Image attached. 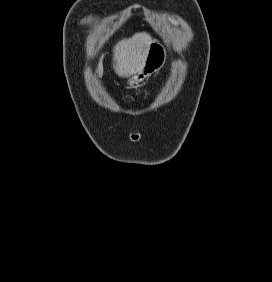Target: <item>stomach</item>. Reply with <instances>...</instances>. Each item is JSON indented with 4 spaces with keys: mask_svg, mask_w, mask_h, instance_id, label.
<instances>
[{
    "mask_svg": "<svg viewBox=\"0 0 272 282\" xmlns=\"http://www.w3.org/2000/svg\"><path fill=\"white\" fill-rule=\"evenodd\" d=\"M167 59L166 47L157 39L151 40L149 51L143 67L128 81L131 87L139 85L152 74L162 69Z\"/></svg>",
    "mask_w": 272,
    "mask_h": 282,
    "instance_id": "obj_1",
    "label": "stomach"
}]
</instances>
